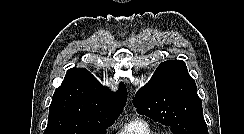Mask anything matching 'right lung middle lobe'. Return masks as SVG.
Here are the masks:
<instances>
[{
	"label": "right lung middle lobe",
	"instance_id": "dd1d6c3e",
	"mask_svg": "<svg viewBox=\"0 0 244 134\" xmlns=\"http://www.w3.org/2000/svg\"><path fill=\"white\" fill-rule=\"evenodd\" d=\"M119 115L86 118L49 111L48 124L44 134H103Z\"/></svg>",
	"mask_w": 244,
	"mask_h": 134
}]
</instances>
